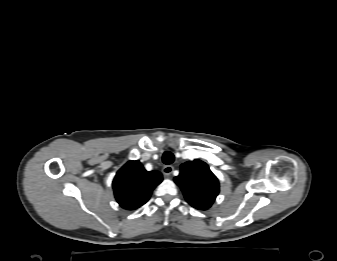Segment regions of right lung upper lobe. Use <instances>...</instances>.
Returning <instances> with one entry per match:
<instances>
[{
    "label": "right lung upper lobe",
    "mask_w": 337,
    "mask_h": 261,
    "mask_svg": "<svg viewBox=\"0 0 337 261\" xmlns=\"http://www.w3.org/2000/svg\"><path fill=\"white\" fill-rule=\"evenodd\" d=\"M162 182L158 171H146L136 161L127 162L114 177L112 186L119 205L128 210H135L145 204L153 189Z\"/></svg>",
    "instance_id": "obj_1"
}]
</instances>
